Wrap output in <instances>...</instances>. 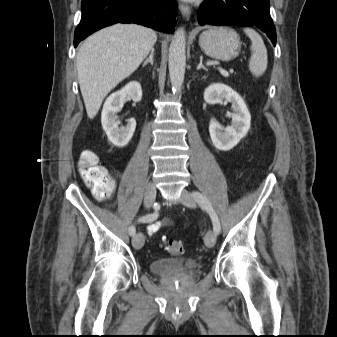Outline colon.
<instances>
[{"label": "colon", "instance_id": "obj_1", "mask_svg": "<svg viewBox=\"0 0 337 337\" xmlns=\"http://www.w3.org/2000/svg\"><path fill=\"white\" fill-rule=\"evenodd\" d=\"M78 167L83 180L96 199L105 200L113 193V179L99 163L98 156L94 151L83 150L80 154ZM164 245L167 251L172 254H179L183 249L179 240H166Z\"/></svg>", "mask_w": 337, "mask_h": 337}]
</instances>
